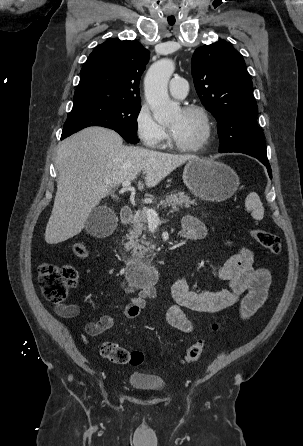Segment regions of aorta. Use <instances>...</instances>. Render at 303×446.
<instances>
[{"label": "aorta", "mask_w": 303, "mask_h": 446, "mask_svg": "<svg viewBox=\"0 0 303 446\" xmlns=\"http://www.w3.org/2000/svg\"><path fill=\"white\" fill-rule=\"evenodd\" d=\"M174 70L172 60L161 59L149 68L144 79L146 100L154 119L160 123L173 118L179 111L177 103L168 95V82Z\"/></svg>", "instance_id": "1"}]
</instances>
